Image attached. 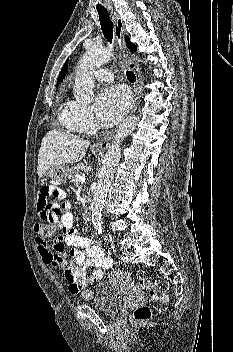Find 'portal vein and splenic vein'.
Returning a JSON list of instances; mask_svg holds the SVG:
<instances>
[{
	"instance_id": "obj_1",
	"label": "portal vein and splenic vein",
	"mask_w": 233,
	"mask_h": 352,
	"mask_svg": "<svg viewBox=\"0 0 233 352\" xmlns=\"http://www.w3.org/2000/svg\"><path fill=\"white\" fill-rule=\"evenodd\" d=\"M76 181L77 182H80L81 184L85 183V175H80V174H76V177H75Z\"/></svg>"
}]
</instances>
